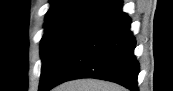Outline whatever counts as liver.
Wrapping results in <instances>:
<instances>
[{"instance_id":"1","label":"liver","mask_w":173,"mask_h":91,"mask_svg":"<svg viewBox=\"0 0 173 91\" xmlns=\"http://www.w3.org/2000/svg\"><path fill=\"white\" fill-rule=\"evenodd\" d=\"M52 91H126L125 88L111 82L96 79H80L65 82Z\"/></svg>"}]
</instances>
